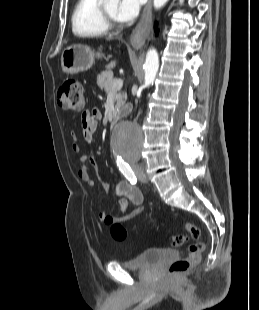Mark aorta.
Instances as JSON below:
<instances>
[{"label": "aorta", "mask_w": 259, "mask_h": 310, "mask_svg": "<svg viewBox=\"0 0 259 310\" xmlns=\"http://www.w3.org/2000/svg\"><path fill=\"white\" fill-rule=\"evenodd\" d=\"M107 2L117 3L119 0H106ZM168 0H154L155 9L163 7ZM159 68L158 53L155 49L147 52L144 64L145 70V86L153 84ZM144 141V135L141 128L131 122L121 123L115 130L113 135V149L116 155L122 158H138Z\"/></svg>", "instance_id": "1"}]
</instances>
